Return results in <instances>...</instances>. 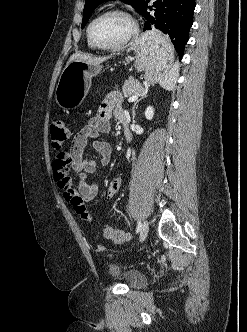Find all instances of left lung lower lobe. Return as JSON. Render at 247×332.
Returning <instances> with one entry per match:
<instances>
[{
  "label": "left lung lower lobe",
  "instance_id": "obj_1",
  "mask_svg": "<svg viewBox=\"0 0 247 332\" xmlns=\"http://www.w3.org/2000/svg\"><path fill=\"white\" fill-rule=\"evenodd\" d=\"M141 14L147 20L144 30L156 28L168 34L180 57L183 56L184 46L188 41L189 29L193 24L195 0H156L148 7V2ZM153 11L150 14L147 9Z\"/></svg>",
  "mask_w": 247,
  "mask_h": 332
}]
</instances>
